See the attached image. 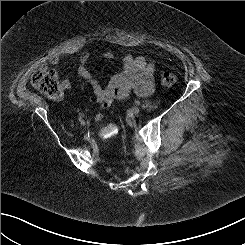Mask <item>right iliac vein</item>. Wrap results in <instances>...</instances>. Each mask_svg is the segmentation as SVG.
Here are the masks:
<instances>
[{"label":"right iliac vein","mask_w":245,"mask_h":245,"mask_svg":"<svg viewBox=\"0 0 245 245\" xmlns=\"http://www.w3.org/2000/svg\"><path fill=\"white\" fill-rule=\"evenodd\" d=\"M82 126H85L86 125V122L83 120V121H81V123H80Z\"/></svg>","instance_id":"obj_1"}]
</instances>
